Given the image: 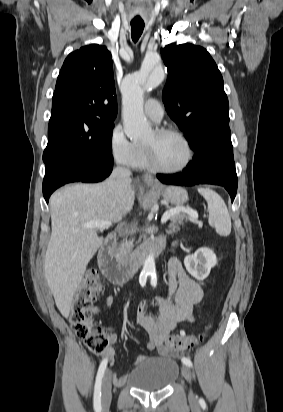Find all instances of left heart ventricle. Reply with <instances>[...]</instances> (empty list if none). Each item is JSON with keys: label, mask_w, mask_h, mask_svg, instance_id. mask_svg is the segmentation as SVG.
Here are the masks:
<instances>
[{"label": "left heart ventricle", "mask_w": 283, "mask_h": 412, "mask_svg": "<svg viewBox=\"0 0 283 412\" xmlns=\"http://www.w3.org/2000/svg\"><path fill=\"white\" fill-rule=\"evenodd\" d=\"M144 143L152 147L155 161L163 168H177L187 157L185 145L172 135L159 136L153 131Z\"/></svg>", "instance_id": "left-heart-ventricle-1"}]
</instances>
